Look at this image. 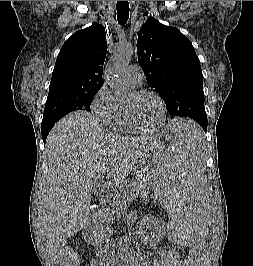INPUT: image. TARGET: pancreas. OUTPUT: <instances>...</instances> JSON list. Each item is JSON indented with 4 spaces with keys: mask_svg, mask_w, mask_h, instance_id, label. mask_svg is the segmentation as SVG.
Segmentation results:
<instances>
[{
    "mask_svg": "<svg viewBox=\"0 0 253 266\" xmlns=\"http://www.w3.org/2000/svg\"><path fill=\"white\" fill-rule=\"evenodd\" d=\"M149 185V176L140 174L125 189L118 191L114 196V200L108 203L106 209L100 213L104 223L103 227H111L115 215L120 214L123 208L128 206L131 201H135L137 197L140 198V201H148ZM109 207H112V209Z\"/></svg>",
    "mask_w": 253,
    "mask_h": 266,
    "instance_id": "pancreas-1",
    "label": "pancreas"
}]
</instances>
